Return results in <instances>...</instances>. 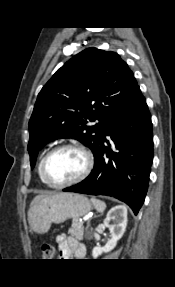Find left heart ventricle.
<instances>
[{
    "instance_id": "obj_1",
    "label": "left heart ventricle",
    "mask_w": 175,
    "mask_h": 287,
    "mask_svg": "<svg viewBox=\"0 0 175 287\" xmlns=\"http://www.w3.org/2000/svg\"><path fill=\"white\" fill-rule=\"evenodd\" d=\"M85 167L83 154L75 149H62L54 153L47 163L48 178L64 183L77 177Z\"/></svg>"
}]
</instances>
